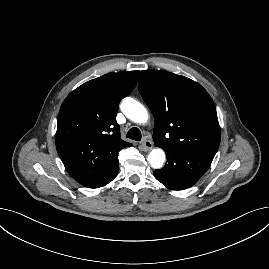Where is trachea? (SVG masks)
I'll return each instance as SVG.
<instances>
[{"instance_id":"3493384b","label":"trachea","mask_w":269,"mask_h":269,"mask_svg":"<svg viewBox=\"0 0 269 269\" xmlns=\"http://www.w3.org/2000/svg\"><path fill=\"white\" fill-rule=\"evenodd\" d=\"M126 137L135 141H140L142 138V135L138 128L133 127L127 132Z\"/></svg>"}]
</instances>
